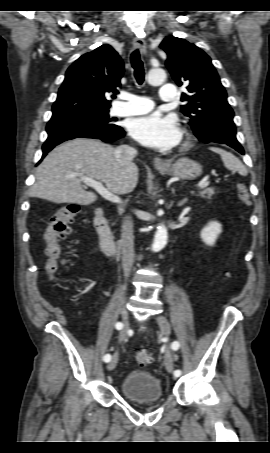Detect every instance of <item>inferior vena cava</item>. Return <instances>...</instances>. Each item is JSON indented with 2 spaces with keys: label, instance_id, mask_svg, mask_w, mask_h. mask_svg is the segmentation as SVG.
Wrapping results in <instances>:
<instances>
[{
  "label": "inferior vena cava",
  "instance_id": "inferior-vena-cava-1",
  "mask_svg": "<svg viewBox=\"0 0 270 453\" xmlns=\"http://www.w3.org/2000/svg\"><path fill=\"white\" fill-rule=\"evenodd\" d=\"M136 154L137 150L128 145H121L114 151L117 162L122 166L130 165ZM121 228L122 267L125 275H128L134 263L133 220L131 216L124 217Z\"/></svg>",
  "mask_w": 270,
  "mask_h": 453
}]
</instances>
